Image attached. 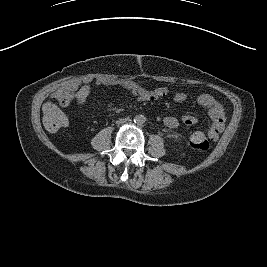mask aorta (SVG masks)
I'll return each mask as SVG.
<instances>
[{
    "mask_svg": "<svg viewBox=\"0 0 267 267\" xmlns=\"http://www.w3.org/2000/svg\"><path fill=\"white\" fill-rule=\"evenodd\" d=\"M134 121L136 124H143L145 122V117L142 115H137L135 116Z\"/></svg>",
    "mask_w": 267,
    "mask_h": 267,
    "instance_id": "1",
    "label": "aorta"
}]
</instances>
